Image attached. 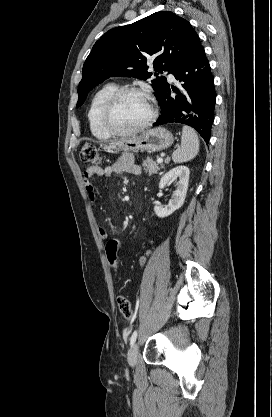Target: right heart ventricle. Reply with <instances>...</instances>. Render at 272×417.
Wrapping results in <instances>:
<instances>
[{"mask_svg":"<svg viewBox=\"0 0 272 417\" xmlns=\"http://www.w3.org/2000/svg\"><path fill=\"white\" fill-rule=\"evenodd\" d=\"M118 89V84L107 83L99 88L91 99L87 117L92 134L99 139L105 140L111 137L102 125L101 115L107 99Z\"/></svg>","mask_w":272,"mask_h":417,"instance_id":"obj_1","label":"right heart ventricle"}]
</instances>
